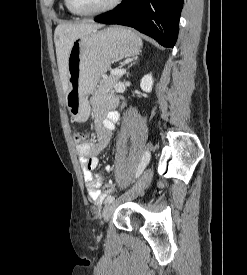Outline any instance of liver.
<instances>
[{"mask_svg":"<svg viewBox=\"0 0 247 275\" xmlns=\"http://www.w3.org/2000/svg\"><path fill=\"white\" fill-rule=\"evenodd\" d=\"M102 27V24L90 22L61 23L56 27L54 32L56 56L60 80L62 83L63 92L65 94L69 88L67 61L73 42L76 39L95 32L97 29Z\"/></svg>","mask_w":247,"mask_h":275,"instance_id":"obj_1","label":"liver"}]
</instances>
